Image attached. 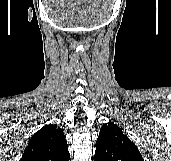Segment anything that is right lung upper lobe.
Returning a JSON list of instances; mask_svg holds the SVG:
<instances>
[{
    "mask_svg": "<svg viewBox=\"0 0 171 161\" xmlns=\"http://www.w3.org/2000/svg\"><path fill=\"white\" fill-rule=\"evenodd\" d=\"M65 135L56 124H49L30 139L20 161H69Z\"/></svg>",
    "mask_w": 171,
    "mask_h": 161,
    "instance_id": "cb5924a9",
    "label": "right lung upper lobe"
}]
</instances>
